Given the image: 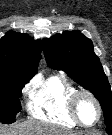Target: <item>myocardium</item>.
<instances>
[{
    "label": "myocardium",
    "mask_w": 112,
    "mask_h": 135,
    "mask_svg": "<svg viewBox=\"0 0 112 135\" xmlns=\"http://www.w3.org/2000/svg\"><path fill=\"white\" fill-rule=\"evenodd\" d=\"M81 96L89 97L97 108L98 116H97L96 121L92 124L84 123L79 116L78 99ZM68 107H69L71 116L76 121V123L81 127H86V128L93 127L98 124V122L100 121V119L102 117V106H101L98 98L91 91H89L87 89H75L68 98Z\"/></svg>",
    "instance_id": "myocardium-1"
}]
</instances>
